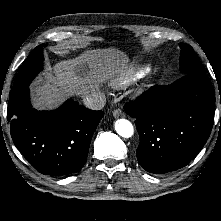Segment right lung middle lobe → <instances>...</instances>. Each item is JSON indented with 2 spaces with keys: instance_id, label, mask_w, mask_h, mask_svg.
<instances>
[{
  "instance_id": "dd1d6c3e",
  "label": "right lung middle lobe",
  "mask_w": 221,
  "mask_h": 221,
  "mask_svg": "<svg viewBox=\"0 0 221 221\" xmlns=\"http://www.w3.org/2000/svg\"><path fill=\"white\" fill-rule=\"evenodd\" d=\"M43 46H45V44H41L34 48L30 55L25 59L15 78L14 86L31 81L42 70L44 60Z\"/></svg>"
}]
</instances>
